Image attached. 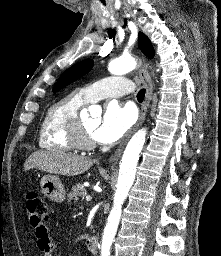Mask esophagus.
<instances>
[{
  "mask_svg": "<svg viewBox=\"0 0 221 256\" xmlns=\"http://www.w3.org/2000/svg\"><path fill=\"white\" fill-rule=\"evenodd\" d=\"M139 77H140L141 81L144 83L145 88H146L145 99L141 106L139 119H138V122L136 123V125L132 128V130L125 136V138L123 139L121 144L118 146V148L116 149L114 154L110 157V159H109L110 165H113L118 161V159L120 158V156L122 154V151L125 147L127 140L144 122L150 101L152 99L153 83H152L151 77L148 73V70L146 69L145 66H142L140 68Z\"/></svg>",
  "mask_w": 221,
  "mask_h": 256,
  "instance_id": "obj_1",
  "label": "esophagus"
}]
</instances>
